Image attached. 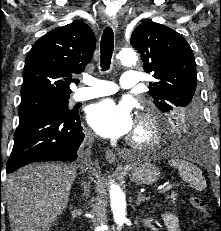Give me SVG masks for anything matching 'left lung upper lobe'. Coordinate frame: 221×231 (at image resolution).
<instances>
[{
	"instance_id": "obj_1",
	"label": "left lung upper lobe",
	"mask_w": 221,
	"mask_h": 231,
	"mask_svg": "<svg viewBox=\"0 0 221 231\" xmlns=\"http://www.w3.org/2000/svg\"><path fill=\"white\" fill-rule=\"evenodd\" d=\"M130 42L140 53L144 70L157 80L148 92L153 103L167 114L197 110L196 64L186 40L167 26L145 21L135 28Z\"/></svg>"
}]
</instances>
